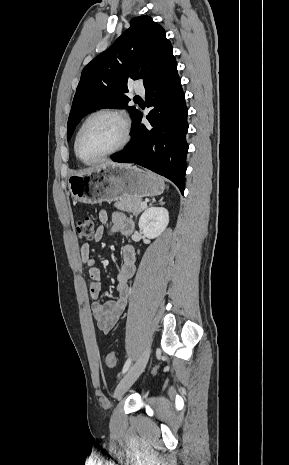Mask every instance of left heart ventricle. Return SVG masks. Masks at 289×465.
<instances>
[{"label": "left heart ventricle", "instance_id": "left-heart-ventricle-1", "mask_svg": "<svg viewBox=\"0 0 289 465\" xmlns=\"http://www.w3.org/2000/svg\"><path fill=\"white\" fill-rule=\"evenodd\" d=\"M123 138L121 123L110 116H98L84 127L79 140V153L85 160L99 157L114 149Z\"/></svg>", "mask_w": 289, "mask_h": 465}]
</instances>
